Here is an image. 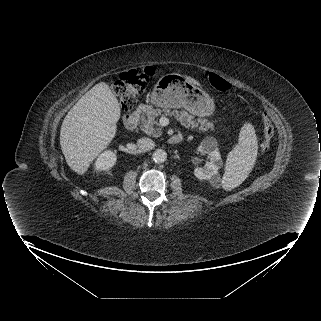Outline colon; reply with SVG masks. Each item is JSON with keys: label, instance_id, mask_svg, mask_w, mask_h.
Listing matches in <instances>:
<instances>
[{"label": "colon", "instance_id": "5ec220e1", "mask_svg": "<svg viewBox=\"0 0 321 321\" xmlns=\"http://www.w3.org/2000/svg\"><path fill=\"white\" fill-rule=\"evenodd\" d=\"M154 74L155 68L153 66H146L141 70L131 69L121 74L113 87V91L119 97L123 110L129 111L132 109L136 97L146 90L148 82ZM207 80L213 88L220 92L231 91L230 83L213 72L207 74ZM262 122V150L266 152L270 148L274 136V127L266 114L262 115Z\"/></svg>", "mask_w": 321, "mask_h": 321}]
</instances>
